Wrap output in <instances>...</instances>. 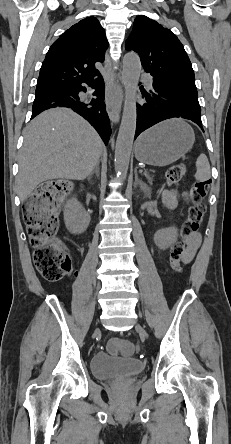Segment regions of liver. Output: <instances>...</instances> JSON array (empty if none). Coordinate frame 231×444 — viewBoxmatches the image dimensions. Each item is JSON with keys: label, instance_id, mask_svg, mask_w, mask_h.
Here are the masks:
<instances>
[{"label": "liver", "instance_id": "6515ba94", "mask_svg": "<svg viewBox=\"0 0 231 444\" xmlns=\"http://www.w3.org/2000/svg\"><path fill=\"white\" fill-rule=\"evenodd\" d=\"M102 147L94 128L72 110L58 107L42 112L24 130L17 176L20 200L46 180L85 179L98 163Z\"/></svg>", "mask_w": 231, "mask_h": 444}]
</instances>
